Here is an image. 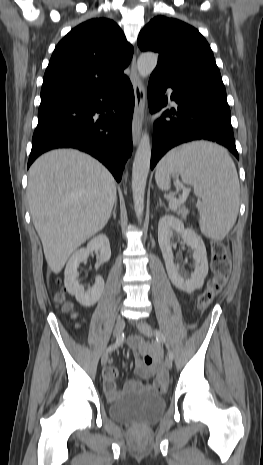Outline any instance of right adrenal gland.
I'll use <instances>...</instances> for the list:
<instances>
[{"mask_svg":"<svg viewBox=\"0 0 263 465\" xmlns=\"http://www.w3.org/2000/svg\"><path fill=\"white\" fill-rule=\"evenodd\" d=\"M116 206H117V203L115 202L114 208H113V211H112V215H113L114 220L116 219Z\"/></svg>","mask_w":263,"mask_h":465,"instance_id":"1","label":"right adrenal gland"}]
</instances>
